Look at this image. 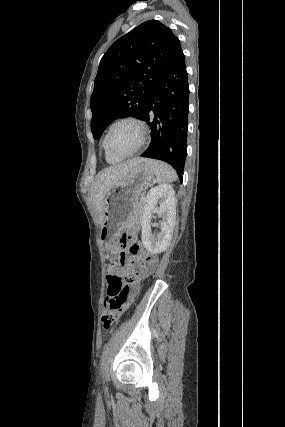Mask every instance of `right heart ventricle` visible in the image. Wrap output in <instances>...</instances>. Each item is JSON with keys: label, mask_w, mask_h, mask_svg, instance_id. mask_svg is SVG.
<instances>
[{"label": "right heart ventricle", "mask_w": 285, "mask_h": 427, "mask_svg": "<svg viewBox=\"0 0 285 427\" xmlns=\"http://www.w3.org/2000/svg\"><path fill=\"white\" fill-rule=\"evenodd\" d=\"M102 146H103V149H104V152H105V159H106V161H107L108 163H117V162L121 161V159H122V158H119V157H117V156H114V155L110 154V153L106 150V148H105V146H104V142H102Z\"/></svg>", "instance_id": "e07e8e85"}]
</instances>
